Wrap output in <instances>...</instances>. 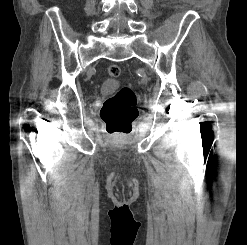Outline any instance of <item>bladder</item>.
I'll return each mask as SVG.
<instances>
[{
    "label": "bladder",
    "mask_w": 247,
    "mask_h": 245,
    "mask_svg": "<svg viewBox=\"0 0 247 245\" xmlns=\"http://www.w3.org/2000/svg\"><path fill=\"white\" fill-rule=\"evenodd\" d=\"M118 86V82L114 79H106L101 87L102 92H110Z\"/></svg>",
    "instance_id": "obj_1"
}]
</instances>
